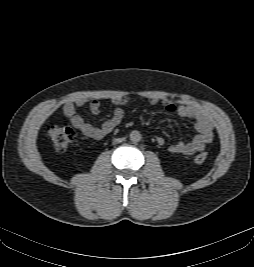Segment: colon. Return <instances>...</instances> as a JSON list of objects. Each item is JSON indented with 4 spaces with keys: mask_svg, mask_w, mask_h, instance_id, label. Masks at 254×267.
Returning a JSON list of instances; mask_svg holds the SVG:
<instances>
[{
    "mask_svg": "<svg viewBox=\"0 0 254 267\" xmlns=\"http://www.w3.org/2000/svg\"><path fill=\"white\" fill-rule=\"evenodd\" d=\"M47 134L56 151L60 153L65 152L76 138V134L72 128L58 124L49 125ZM206 159V153H200L195 157L196 163L199 164L204 163Z\"/></svg>",
    "mask_w": 254,
    "mask_h": 267,
    "instance_id": "obj_1",
    "label": "colon"
}]
</instances>
